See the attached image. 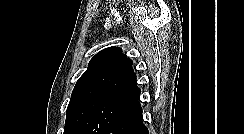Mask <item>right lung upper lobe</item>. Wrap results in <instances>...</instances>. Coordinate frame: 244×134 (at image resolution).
<instances>
[{
	"instance_id": "obj_1",
	"label": "right lung upper lobe",
	"mask_w": 244,
	"mask_h": 134,
	"mask_svg": "<svg viewBox=\"0 0 244 134\" xmlns=\"http://www.w3.org/2000/svg\"><path fill=\"white\" fill-rule=\"evenodd\" d=\"M132 64L119 47H109L97 53L78 79L66 115L75 106L91 100L117 98L134 102L139 99L140 89Z\"/></svg>"
}]
</instances>
